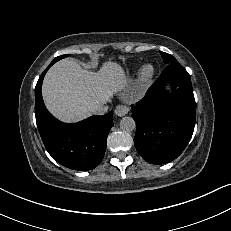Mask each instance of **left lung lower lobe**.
Wrapping results in <instances>:
<instances>
[{
	"label": "left lung lower lobe",
	"instance_id": "1",
	"mask_svg": "<svg viewBox=\"0 0 231 231\" xmlns=\"http://www.w3.org/2000/svg\"><path fill=\"white\" fill-rule=\"evenodd\" d=\"M168 82L172 93L164 90ZM131 112L136 122L134 144L138 153L152 164L176 159L195 126V99L186 69L178 62L168 64Z\"/></svg>",
	"mask_w": 231,
	"mask_h": 231
}]
</instances>
